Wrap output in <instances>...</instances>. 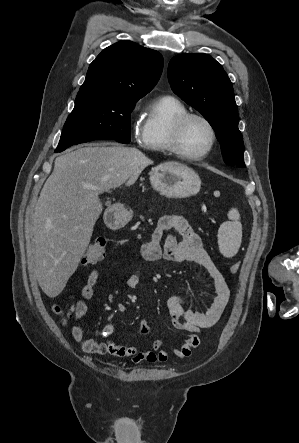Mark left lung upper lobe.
<instances>
[{"mask_svg": "<svg viewBox=\"0 0 299 443\" xmlns=\"http://www.w3.org/2000/svg\"><path fill=\"white\" fill-rule=\"evenodd\" d=\"M168 79L173 92L210 123L225 163L245 167L233 87L222 66L204 53L180 54L169 63Z\"/></svg>", "mask_w": 299, "mask_h": 443, "instance_id": "obj_1", "label": "left lung upper lobe"}]
</instances>
